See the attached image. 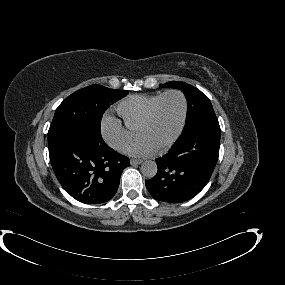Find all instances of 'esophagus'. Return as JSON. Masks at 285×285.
<instances>
[{
  "label": "esophagus",
  "mask_w": 285,
  "mask_h": 285,
  "mask_svg": "<svg viewBox=\"0 0 285 285\" xmlns=\"http://www.w3.org/2000/svg\"><path fill=\"white\" fill-rule=\"evenodd\" d=\"M142 163V160L140 159H131L130 160V164L131 165H138V164H141Z\"/></svg>",
  "instance_id": "1"
}]
</instances>
